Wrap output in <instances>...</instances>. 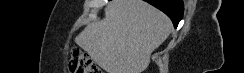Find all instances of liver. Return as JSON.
I'll return each mask as SVG.
<instances>
[{"instance_id": "obj_1", "label": "liver", "mask_w": 244, "mask_h": 73, "mask_svg": "<svg viewBox=\"0 0 244 73\" xmlns=\"http://www.w3.org/2000/svg\"><path fill=\"white\" fill-rule=\"evenodd\" d=\"M171 29V20L152 5L114 0L105 18L87 25L75 42L107 73H142Z\"/></svg>"}]
</instances>
